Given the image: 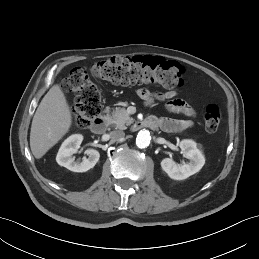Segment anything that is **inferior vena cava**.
Masks as SVG:
<instances>
[{
	"label": "inferior vena cava",
	"mask_w": 259,
	"mask_h": 259,
	"mask_svg": "<svg viewBox=\"0 0 259 259\" xmlns=\"http://www.w3.org/2000/svg\"><path fill=\"white\" fill-rule=\"evenodd\" d=\"M110 135L113 140L118 141L124 138L125 133L122 130H114Z\"/></svg>",
	"instance_id": "inferior-vena-cava-1"
}]
</instances>
